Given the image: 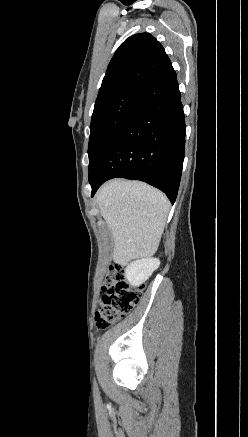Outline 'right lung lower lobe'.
Wrapping results in <instances>:
<instances>
[{"instance_id": "1", "label": "right lung lower lobe", "mask_w": 248, "mask_h": 437, "mask_svg": "<svg viewBox=\"0 0 248 437\" xmlns=\"http://www.w3.org/2000/svg\"><path fill=\"white\" fill-rule=\"evenodd\" d=\"M185 152V118L176 72L169 64L133 102L89 171L92 196L123 177L162 190L175 202Z\"/></svg>"}]
</instances>
